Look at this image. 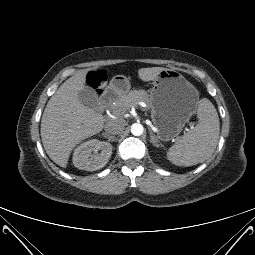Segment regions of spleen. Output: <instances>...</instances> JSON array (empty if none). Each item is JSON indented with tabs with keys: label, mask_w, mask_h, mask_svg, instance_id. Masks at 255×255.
<instances>
[{
	"label": "spleen",
	"mask_w": 255,
	"mask_h": 255,
	"mask_svg": "<svg viewBox=\"0 0 255 255\" xmlns=\"http://www.w3.org/2000/svg\"><path fill=\"white\" fill-rule=\"evenodd\" d=\"M198 124L183 135L167 153L170 162L177 166H192L209 161L217 146L220 123L214 105L206 98L199 101Z\"/></svg>",
	"instance_id": "1"
}]
</instances>
